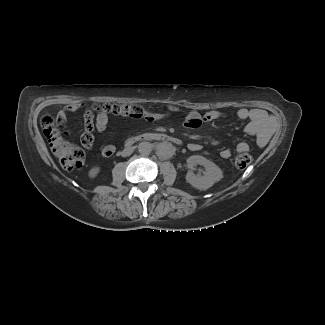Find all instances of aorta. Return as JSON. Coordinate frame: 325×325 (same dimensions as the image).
Returning a JSON list of instances; mask_svg holds the SVG:
<instances>
[{
	"label": "aorta",
	"mask_w": 325,
	"mask_h": 325,
	"mask_svg": "<svg viewBox=\"0 0 325 325\" xmlns=\"http://www.w3.org/2000/svg\"><path fill=\"white\" fill-rule=\"evenodd\" d=\"M138 151L142 155H148L152 151V144L149 142H141L138 145Z\"/></svg>",
	"instance_id": "762f6f07"
}]
</instances>
